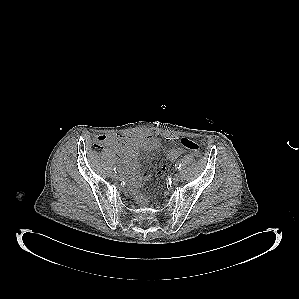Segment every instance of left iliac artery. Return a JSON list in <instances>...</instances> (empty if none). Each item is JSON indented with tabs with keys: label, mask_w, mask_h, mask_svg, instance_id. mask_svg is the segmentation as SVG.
I'll return each mask as SVG.
<instances>
[{
	"label": "left iliac artery",
	"mask_w": 299,
	"mask_h": 299,
	"mask_svg": "<svg viewBox=\"0 0 299 299\" xmlns=\"http://www.w3.org/2000/svg\"><path fill=\"white\" fill-rule=\"evenodd\" d=\"M180 167H181V164H180L179 162H177V163L175 164V168L179 170Z\"/></svg>",
	"instance_id": "left-iliac-artery-1"
}]
</instances>
